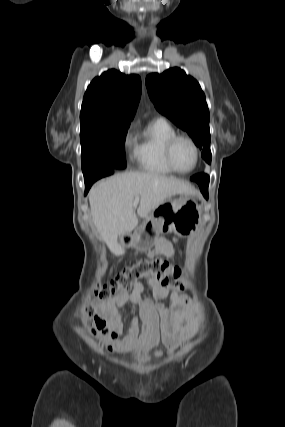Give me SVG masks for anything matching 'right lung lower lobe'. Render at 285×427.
I'll return each instance as SVG.
<instances>
[{"label": "right lung lower lobe", "mask_w": 285, "mask_h": 427, "mask_svg": "<svg viewBox=\"0 0 285 427\" xmlns=\"http://www.w3.org/2000/svg\"><path fill=\"white\" fill-rule=\"evenodd\" d=\"M113 173H114V170H111V171L104 172V173H102V174H100V175H98V176H96V177H93V178H90V179H85V195H86V194H87V192L89 191V189H90L91 185H92L96 180H98V179H100V178H102V177H105V176L111 175V174H113Z\"/></svg>", "instance_id": "1"}]
</instances>
